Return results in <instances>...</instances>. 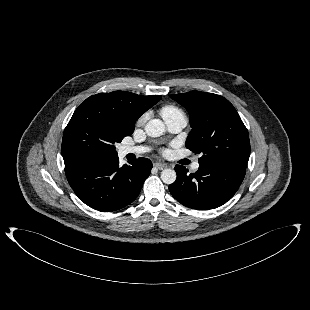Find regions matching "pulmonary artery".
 I'll use <instances>...</instances> for the list:
<instances>
[{
  "label": "pulmonary artery",
  "instance_id": "e3ab8cb5",
  "mask_svg": "<svg viewBox=\"0 0 310 310\" xmlns=\"http://www.w3.org/2000/svg\"><path fill=\"white\" fill-rule=\"evenodd\" d=\"M169 131L176 133L181 131L187 124V120L184 117H173L165 121ZM149 150L145 146H122L119 150L120 156H125L127 154H143ZM200 167L198 161L191 165L193 171H197Z\"/></svg>",
  "mask_w": 310,
  "mask_h": 310
}]
</instances>
